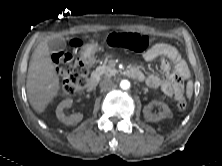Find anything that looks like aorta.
<instances>
[{"label":"aorta","instance_id":"1","mask_svg":"<svg viewBox=\"0 0 222 166\" xmlns=\"http://www.w3.org/2000/svg\"><path fill=\"white\" fill-rule=\"evenodd\" d=\"M120 87L124 90H127L130 88V82L128 80H122L120 82Z\"/></svg>","mask_w":222,"mask_h":166}]
</instances>
